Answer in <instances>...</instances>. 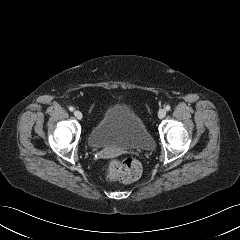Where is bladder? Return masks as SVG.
Segmentation results:
<instances>
[{
  "label": "bladder",
  "instance_id": "obj_1",
  "mask_svg": "<svg viewBox=\"0 0 240 240\" xmlns=\"http://www.w3.org/2000/svg\"><path fill=\"white\" fill-rule=\"evenodd\" d=\"M88 144L95 149L151 150L154 140L141 117L125 104L110 106L91 129Z\"/></svg>",
  "mask_w": 240,
  "mask_h": 240
}]
</instances>
